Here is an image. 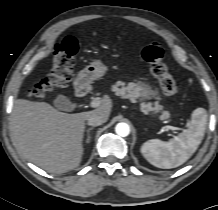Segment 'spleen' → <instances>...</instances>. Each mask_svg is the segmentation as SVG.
<instances>
[{
  "label": "spleen",
  "mask_w": 218,
  "mask_h": 210,
  "mask_svg": "<svg viewBox=\"0 0 218 210\" xmlns=\"http://www.w3.org/2000/svg\"><path fill=\"white\" fill-rule=\"evenodd\" d=\"M207 124V112L197 108L192 112L188 129L163 142L151 139L141 147L144 158L153 166L162 169L176 168L185 163L200 145Z\"/></svg>",
  "instance_id": "3e777b00"
}]
</instances>
